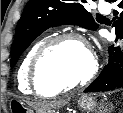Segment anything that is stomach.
Returning a JSON list of instances; mask_svg holds the SVG:
<instances>
[{
  "label": "stomach",
  "instance_id": "stomach-1",
  "mask_svg": "<svg viewBox=\"0 0 123 113\" xmlns=\"http://www.w3.org/2000/svg\"><path fill=\"white\" fill-rule=\"evenodd\" d=\"M97 106V100L94 96L92 95H83L79 98L78 100V107L82 111H92L96 108ZM10 110L12 112H19V113H34L33 110L29 107H27L22 101L12 99L10 101ZM36 113H41V112H36ZM42 113H55L53 110L49 111H44Z\"/></svg>",
  "mask_w": 123,
  "mask_h": 113
}]
</instances>
